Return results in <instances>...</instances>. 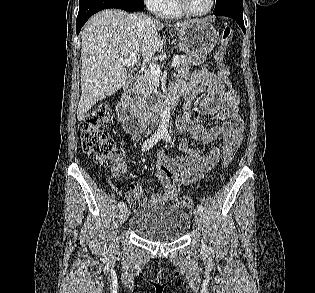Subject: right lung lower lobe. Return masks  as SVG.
Segmentation results:
<instances>
[{"label": "right lung lower lobe", "instance_id": "obj_1", "mask_svg": "<svg viewBox=\"0 0 315 293\" xmlns=\"http://www.w3.org/2000/svg\"><path fill=\"white\" fill-rule=\"evenodd\" d=\"M107 8L133 12L143 10L144 3L142 0H79V13L76 20L77 34L94 13Z\"/></svg>", "mask_w": 315, "mask_h": 293}]
</instances>
